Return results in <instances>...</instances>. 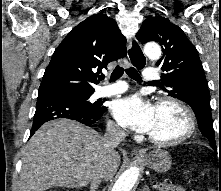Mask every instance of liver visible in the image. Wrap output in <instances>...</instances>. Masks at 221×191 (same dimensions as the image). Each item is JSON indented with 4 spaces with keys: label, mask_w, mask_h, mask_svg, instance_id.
<instances>
[{
    "label": "liver",
    "mask_w": 221,
    "mask_h": 191,
    "mask_svg": "<svg viewBox=\"0 0 221 191\" xmlns=\"http://www.w3.org/2000/svg\"><path fill=\"white\" fill-rule=\"evenodd\" d=\"M120 156L106 152L103 137L76 121L43 124L27 143L22 159L21 191L79 188L104 169L105 180L117 172Z\"/></svg>",
    "instance_id": "1"
}]
</instances>
